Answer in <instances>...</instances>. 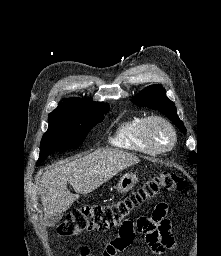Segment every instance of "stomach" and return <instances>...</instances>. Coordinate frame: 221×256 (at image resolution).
<instances>
[{
	"label": "stomach",
	"mask_w": 221,
	"mask_h": 256,
	"mask_svg": "<svg viewBox=\"0 0 221 256\" xmlns=\"http://www.w3.org/2000/svg\"><path fill=\"white\" fill-rule=\"evenodd\" d=\"M138 182V177L135 174H125L123 175L117 184V190L121 193L128 192L134 185Z\"/></svg>",
	"instance_id": "obj_1"
}]
</instances>
